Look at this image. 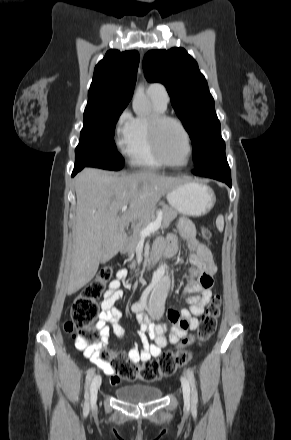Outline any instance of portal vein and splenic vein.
<instances>
[{
	"label": "portal vein and splenic vein",
	"mask_w": 291,
	"mask_h": 440,
	"mask_svg": "<svg viewBox=\"0 0 291 440\" xmlns=\"http://www.w3.org/2000/svg\"><path fill=\"white\" fill-rule=\"evenodd\" d=\"M126 210H127V206H123L121 209L122 213L126 212ZM161 221H162V213H160L153 222L149 223L145 228H143L140 231V236L146 237L152 232L158 230L161 227Z\"/></svg>",
	"instance_id": "obj_1"
}]
</instances>
